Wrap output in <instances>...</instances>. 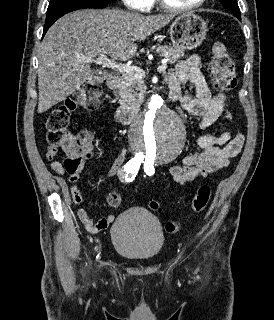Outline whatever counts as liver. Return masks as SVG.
Instances as JSON below:
<instances>
[{"label": "liver", "mask_w": 274, "mask_h": 320, "mask_svg": "<svg viewBox=\"0 0 274 320\" xmlns=\"http://www.w3.org/2000/svg\"><path fill=\"white\" fill-rule=\"evenodd\" d=\"M175 16H142L118 8L77 10L49 28L38 50V114L66 100L93 78L81 58L107 54L126 62L137 52L136 42L167 26Z\"/></svg>", "instance_id": "6515ba94"}]
</instances>
